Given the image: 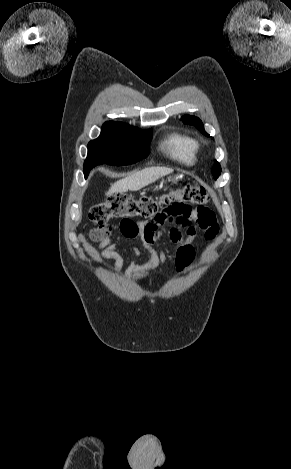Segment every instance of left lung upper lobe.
<instances>
[{"mask_svg":"<svg viewBox=\"0 0 291 469\" xmlns=\"http://www.w3.org/2000/svg\"><path fill=\"white\" fill-rule=\"evenodd\" d=\"M182 120L186 124L194 125L205 136H209V134L205 132L203 123L201 122V120L199 118L187 115V116H183ZM220 173H221L220 164L215 160L214 161V166L212 168V174H213V177H214L215 180L219 177Z\"/></svg>","mask_w":291,"mask_h":469,"instance_id":"5c2ea615","label":"left lung upper lobe"}]
</instances>
